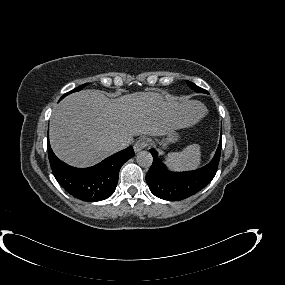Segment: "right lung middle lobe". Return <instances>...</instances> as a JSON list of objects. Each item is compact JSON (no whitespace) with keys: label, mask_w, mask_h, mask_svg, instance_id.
Wrapping results in <instances>:
<instances>
[{"label":"right lung middle lobe","mask_w":285,"mask_h":285,"mask_svg":"<svg viewBox=\"0 0 285 285\" xmlns=\"http://www.w3.org/2000/svg\"><path fill=\"white\" fill-rule=\"evenodd\" d=\"M85 85H86V84L81 85V86H79L78 88H76V89H74V90H72V91H70V92L64 94V95L62 96V98H64L65 96H67V95L70 94V93H73V92H76V91H80L83 87H85ZM62 98H61V99H62Z\"/></svg>","instance_id":"right-lung-middle-lobe-1"}]
</instances>
